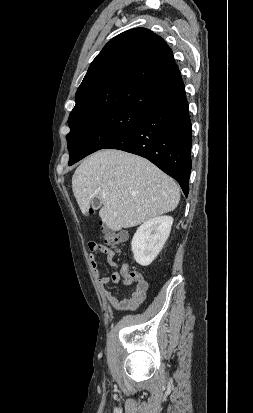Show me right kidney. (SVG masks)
I'll return each instance as SVG.
<instances>
[{"mask_svg":"<svg viewBox=\"0 0 253 413\" xmlns=\"http://www.w3.org/2000/svg\"><path fill=\"white\" fill-rule=\"evenodd\" d=\"M173 218L155 217L142 224L133 236L131 247L135 261L147 266L153 262L169 237Z\"/></svg>","mask_w":253,"mask_h":413,"instance_id":"ca27d5eb","label":"right kidney"}]
</instances>
